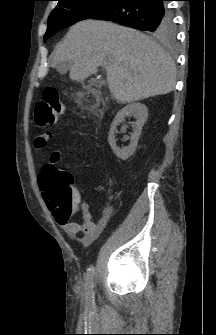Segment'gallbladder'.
Instances as JSON below:
<instances>
[{"instance_id":"1","label":"gallbladder","mask_w":216,"mask_h":335,"mask_svg":"<svg viewBox=\"0 0 216 335\" xmlns=\"http://www.w3.org/2000/svg\"><path fill=\"white\" fill-rule=\"evenodd\" d=\"M68 69V66H64V67H59L58 70L60 71H66Z\"/></svg>"}]
</instances>
